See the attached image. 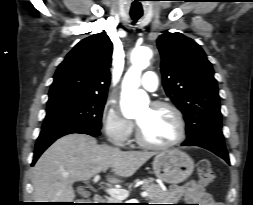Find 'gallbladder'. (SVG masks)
I'll list each match as a JSON object with an SVG mask.
<instances>
[{"instance_id":"1","label":"gallbladder","mask_w":253,"mask_h":205,"mask_svg":"<svg viewBox=\"0 0 253 205\" xmlns=\"http://www.w3.org/2000/svg\"><path fill=\"white\" fill-rule=\"evenodd\" d=\"M79 193H80L82 196H85V197L89 196V193L86 192V191L79 190Z\"/></svg>"}]
</instances>
